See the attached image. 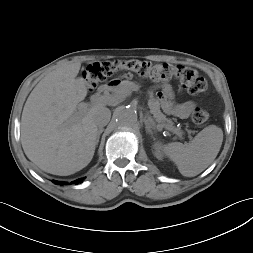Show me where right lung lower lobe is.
I'll return each mask as SVG.
<instances>
[{"mask_svg": "<svg viewBox=\"0 0 253 253\" xmlns=\"http://www.w3.org/2000/svg\"><path fill=\"white\" fill-rule=\"evenodd\" d=\"M83 181V179H78L76 181H73L71 182V184H78V183H81ZM55 184H60V185H63V184H68V183H64V182H60V181H53Z\"/></svg>", "mask_w": 253, "mask_h": 253, "instance_id": "obj_1", "label": "right lung lower lobe"}]
</instances>
